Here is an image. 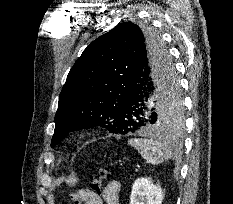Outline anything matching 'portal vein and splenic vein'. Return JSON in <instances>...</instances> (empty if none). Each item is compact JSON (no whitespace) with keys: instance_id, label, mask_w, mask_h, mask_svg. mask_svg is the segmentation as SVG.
I'll return each instance as SVG.
<instances>
[{"instance_id":"1","label":"portal vein and splenic vein","mask_w":233,"mask_h":204,"mask_svg":"<svg viewBox=\"0 0 233 204\" xmlns=\"http://www.w3.org/2000/svg\"><path fill=\"white\" fill-rule=\"evenodd\" d=\"M139 167H140V166H139V165H137V168H136V170H138V169H139Z\"/></svg>"}]
</instances>
